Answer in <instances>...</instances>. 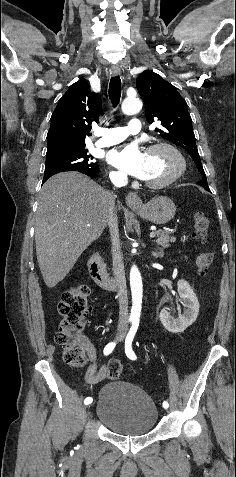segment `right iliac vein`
Wrapping results in <instances>:
<instances>
[{
    "label": "right iliac vein",
    "mask_w": 236,
    "mask_h": 477,
    "mask_svg": "<svg viewBox=\"0 0 236 477\" xmlns=\"http://www.w3.org/2000/svg\"><path fill=\"white\" fill-rule=\"evenodd\" d=\"M95 407V404L94 403H91L90 404V407H87L84 409V412H85V416H87L88 418H91L93 416V410L92 408Z\"/></svg>",
    "instance_id": "right-iliac-vein-1"
}]
</instances>
